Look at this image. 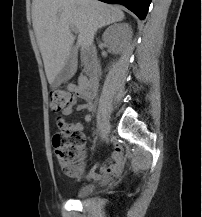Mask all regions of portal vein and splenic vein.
I'll use <instances>...</instances> for the list:
<instances>
[{"label":"portal vein and splenic vein","mask_w":202,"mask_h":217,"mask_svg":"<svg viewBox=\"0 0 202 217\" xmlns=\"http://www.w3.org/2000/svg\"><path fill=\"white\" fill-rule=\"evenodd\" d=\"M71 30H72L73 32H75V33L78 32V30H77L75 27H71Z\"/></svg>","instance_id":"obj_1"}]
</instances>
